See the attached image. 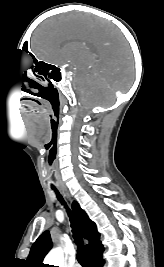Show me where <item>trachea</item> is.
I'll return each instance as SVG.
<instances>
[{
  "instance_id": "obj_1",
  "label": "trachea",
  "mask_w": 164,
  "mask_h": 267,
  "mask_svg": "<svg viewBox=\"0 0 164 267\" xmlns=\"http://www.w3.org/2000/svg\"><path fill=\"white\" fill-rule=\"evenodd\" d=\"M53 190H55L56 194H57V198L59 199V201L65 205V207L67 208V213L68 216L70 218L71 221V227H72V233H73V238L74 241L77 245V260L78 262L82 265V267H88V263H87V259H86V253L84 250V246H83V240H82V236H81V232L79 229V226L71 212V210L67 207L63 197L60 195V193L58 192V190L55 187H52Z\"/></svg>"
}]
</instances>
